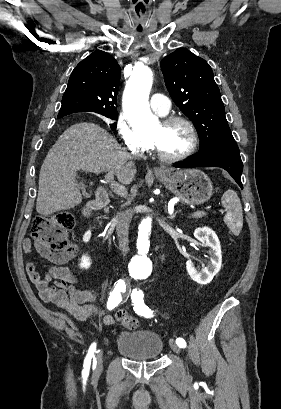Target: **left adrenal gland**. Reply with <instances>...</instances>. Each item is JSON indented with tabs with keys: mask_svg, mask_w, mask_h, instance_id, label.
Wrapping results in <instances>:
<instances>
[{
	"mask_svg": "<svg viewBox=\"0 0 281 409\" xmlns=\"http://www.w3.org/2000/svg\"><path fill=\"white\" fill-rule=\"evenodd\" d=\"M177 213H179V211H176V213H173V215H170V217H168V219H174V217H176Z\"/></svg>",
	"mask_w": 281,
	"mask_h": 409,
	"instance_id": "a2214340",
	"label": "left adrenal gland"
}]
</instances>
